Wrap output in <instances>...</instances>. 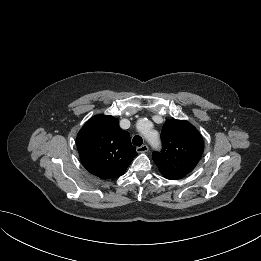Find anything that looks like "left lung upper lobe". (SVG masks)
<instances>
[{"label":"left lung upper lobe","mask_w":261,"mask_h":261,"mask_svg":"<svg viewBox=\"0 0 261 261\" xmlns=\"http://www.w3.org/2000/svg\"><path fill=\"white\" fill-rule=\"evenodd\" d=\"M162 151L152 159L161 174L171 180L183 178L199 162L204 142L198 130L184 120H167L161 133Z\"/></svg>","instance_id":"obj_1"}]
</instances>
